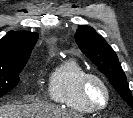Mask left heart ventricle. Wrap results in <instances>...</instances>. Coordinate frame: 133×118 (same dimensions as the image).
<instances>
[{
  "label": "left heart ventricle",
  "mask_w": 133,
  "mask_h": 118,
  "mask_svg": "<svg viewBox=\"0 0 133 118\" xmlns=\"http://www.w3.org/2000/svg\"><path fill=\"white\" fill-rule=\"evenodd\" d=\"M91 98L97 105H102L105 101V92L97 83H93L91 86Z\"/></svg>",
  "instance_id": "1"
}]
</instances>
